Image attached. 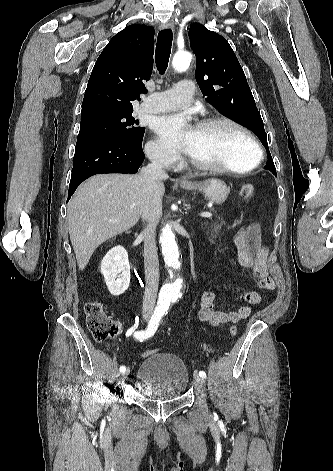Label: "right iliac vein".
<instances>
[{"mask_svg":"<svg viewBox=\"0 0 333 471\" xmlns=\"http://www.w3.org/2000/svg\"><path fill=\"white\" fill-rule=\"evenodd\" d=\"M129 373H130V369H129V368H127V369L122 373V377H121V378H122L123 381L126 380V378L128 377Z\"/></svg>","mask_w":333,"mask_h":471,"instance_id":"obj_1","label":"right iliac vein"}]
</instances>
